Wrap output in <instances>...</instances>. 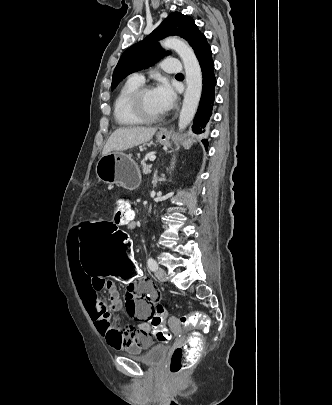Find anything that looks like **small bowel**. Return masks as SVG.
Returning <instances> with one entry per match:
<instances>
[{"mask_svg":"<svg viewBox=\"0 0 332 405\" xmlns=\"http://www.w3.org/2000/svg\"><path fill=\"white\" fill-rule=\"evenodd\" d=\"M79 240L80 228L76 225L71 230L67 256L74 283L97 331L114 349L128 348L131 353H148L149 347L156 345L148 320L154 313L152 311H156L157 306H160V288H148L151 284L143 278L142 282H131L123 302L115 285L104 275H86V268L79 262ZM103 289L109 293V305L100 297L99 293ZM122 307L123 311L138 319L136 325L123 327L112 323L111 312Z\"/></svg>","mask_w":332,"mask_h":405,"instance_id":"c3829d8e","label":"small bowel"}]
</instances>
